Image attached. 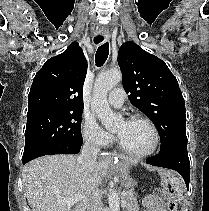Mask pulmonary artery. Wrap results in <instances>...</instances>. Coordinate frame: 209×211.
<instances>
[{
  "label": "pulmonary artery",
  "mask_w": 209,
  "mask_h": 211,
  "mask_svg": "<svg viewBox=\"0 0 209 211\" xmlns=\"http://www.w3.org/2000/svg\"><path fill=\"white\" fill-rule=\"evenodd\" d=\"M124 100L125 92L122 88L113 89L108 96L109 104L115 108L121 107L124 103Z\"/></svg>",
  "instance_id": "1"
}]
</instances>
